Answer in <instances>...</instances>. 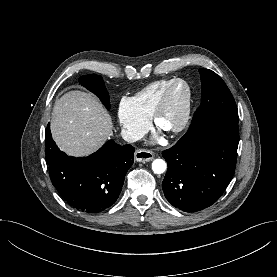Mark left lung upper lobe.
Returning a JSON list of instances; mask_svg holds the SVG:
<instances>
[{"mask_svg":"<svg viewBox=\"0 0 277 277\" xmlns=\"http://www.w3.org/2000/svg\"><path fill=\"white\" fill-rule=\"evenodd\" d=\"M199 73L202 83L201 105L197 108L188 131L213 121L238 124L236 103L225 82L209 69H200Z\"/></svg>","mask_w":277,"mask_h":277,"instance_id":"left-lung-upper-lobe-1","label":"left lung upper lobe"}]
</instances>
